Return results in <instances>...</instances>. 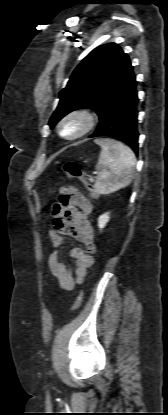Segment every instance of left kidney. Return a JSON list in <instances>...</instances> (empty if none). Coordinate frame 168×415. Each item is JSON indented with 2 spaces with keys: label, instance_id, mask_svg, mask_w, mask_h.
<instances>
[{
  "label": "left kidney",
  "instance_id": "left-kidney-1",
  "mask_svg": "<svg viewBox=\"0 0 168 415\" xmlns=\"http://www.w3.org/2000/svg\"><path fill=\"white\" fill-rule=\"evenodd\" d=\"M109 221V213H105L98 218V226L99 228H104Z\"/></svg>",
  "mask_w": 168,
  "mask_h": 415
}]
</instances>
